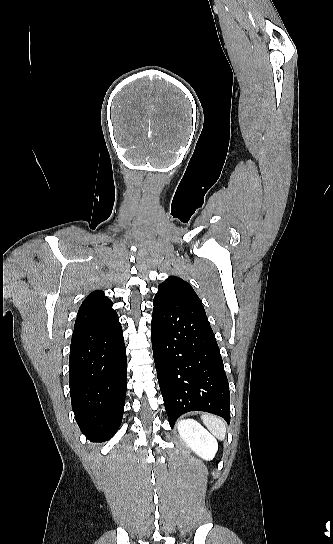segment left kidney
I'll use <instances>...</instances> for the list:
<instances>
[{"instance_id": "obj_1", "label": "left kidney", "mask_w": 333, "mask_h": 544, "mask_svg": "<svg viewBox=\"0 0 333 544\" xmlns=\"http://www.w3.org/2000/svg\"><path fill=\"white\" fill-rule=\"evenodd\" d=\"M178 431L183 441L199 457L213 459L218 450L217 440L198 422L187 419L178 423Z\"/></svg>"}]
</instances>
